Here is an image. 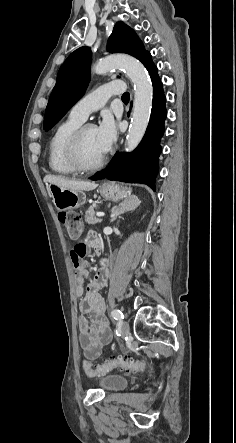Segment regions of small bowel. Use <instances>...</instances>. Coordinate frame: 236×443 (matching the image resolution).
<instances>
[{
	"instance_id": "c3829d8e",
	"label": "small bowel",
	"mask_w": 236,
	"mask_h": 443,
	"mask_svg": "<svg viewBox=\"0 0 236 443\" xmlns=\"http://www.w3.org/2000/svg\"><path fill=\"white\" fill-rule=\"evenodd\" d=\"M76 246H84L86 254L87 246L98 251L101 242L96 233L90 231L74 245V247ZM71 260L73 262L72 256ZM108 278L109 268L107 262L103 261L102 267L84 286L86 279H88V271L83 258L79 260V266L76 268L75 293L79 300L81 315L78 317L77 327L79 343L91 359L98 358L103 346L111 340V330L105 316V300L100 293Z\"/></svg>"
}]
</instances>
